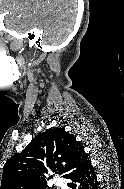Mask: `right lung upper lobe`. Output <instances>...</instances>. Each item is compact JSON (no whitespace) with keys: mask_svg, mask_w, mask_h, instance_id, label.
I'll return each mask as SVG.
<instances>
[{"mask_svg":"<svg viewBox=\"0 0 124 189\" xmlns=\"http://www.w3.org/2000/svg\"><path fill=\"white\" fill-rule=\"evenodd\" d=\"M90 162L84 147L63 128L40 133L3 167L1 189H38L45 173L58 171L67 178ZM57 173V172H56Z\"/></svg>","mask_w":124,"mask_h":189,"instance_id":"1","label":"right lung upper lobe"}]
</instances>
